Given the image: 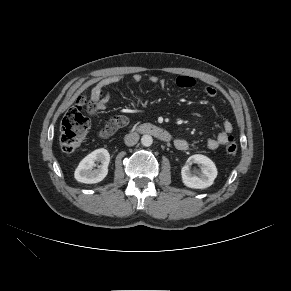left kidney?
Returning a JSON list of instances; mask_svg holds the SVG:
<instances>
[{"label":"left kidney","instance_id":"1","mask_svg":"<svg viewBox=\"0 0 291 291\" xmlns=\"http://www.w3.org/2000/svg\"><path fill=\"white\" fill-rule=\"evenodd\" d=\"M194 163L201 167V172L198 175L191 170V165ZM217 173L214 162L201 154L190 156L181 170L184 185L194 189H205L211 186L217 177Z\"/></svg>","mask_w":291,"mask_h":291}]
</instances>
